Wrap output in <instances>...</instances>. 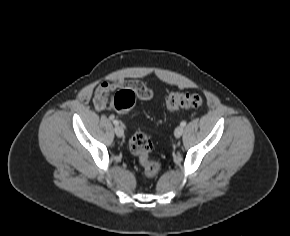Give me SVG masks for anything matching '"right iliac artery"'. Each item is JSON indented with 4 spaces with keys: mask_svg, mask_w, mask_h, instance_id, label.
<instances>
[{
    "mask_svg": "<svg viewBox=\"0 0 290 236\" xmlns=\"http://www.w3.org/2000/svg\"><path fill=\"white\" fill-rule=\"evenodd\" d=\"M113 124L118 125L119 124L118 120H113Z\"/></svg>",
    "mask_w": 290,
    "mask_h": 236,
    "instance_id": "right-iliac-artery-1",
    "label": "right iliac artery"
}]
</instances>
